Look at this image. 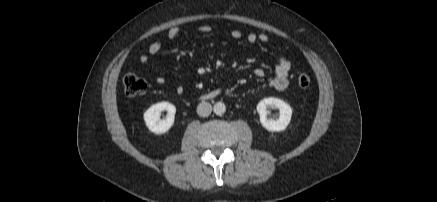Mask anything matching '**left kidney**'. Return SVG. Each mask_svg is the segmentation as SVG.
Returning <instances> with one entry per match:
<instances>
[{
    "mask_svg": "<svg viewBox=\"0 0 437 202\" xmlns=\"http://www.w3.org/2000/svg\"><path fill=\"white\" fill-rule=\"evenodd\" d=\"M268 108L279 109L278 117H268ZM260 122L271 132H280L286 129L292 116V108L279 98L269 97L261 100L257 105Z\"/></svg>",
    "mask_w": 437,
    "mask_h": 202,
    "instance_id": "5707ae66",
    "label": "left kidney"
}]
</instances>
